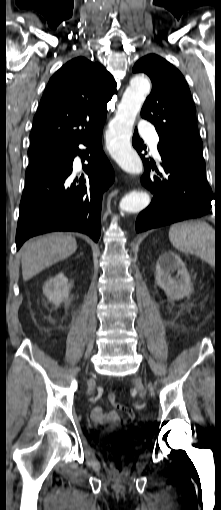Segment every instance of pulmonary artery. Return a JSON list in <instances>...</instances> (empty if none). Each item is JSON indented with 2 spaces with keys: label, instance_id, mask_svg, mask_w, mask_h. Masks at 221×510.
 <instances>
[{
  "label": "pulmonary artery",
  "instance_id": "pulmonary-artery-1",
  "mask_svg": "<svg viewBox=\"0 0 221 510\" xmlns=\"http://www.w3.org/2000/svg\"><path fill=\"white\" fill-rule=\"evenodd\" d=\"M139 130H140L142 137L144 138L146 143L149 145V147L153 150V152L155 154H158L157 147H158L159 137H158L157 132L154 130L153 126L151 125V123H149L148 121H145V120L141 121L139 124Z\"/></svg>",
  "mask_w": 221,
  "mask_h": 510
}]
</instances>
